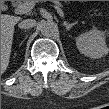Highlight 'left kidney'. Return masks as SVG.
<instances>
[{"label": "left kidney", "instance_id": "5707ae66", "mask_svg": "<svg viewBox=\"0 0 109 109\" xmlns=\"http://www.w3.org/2000/svg\"><path fill=\"white\" fill-rule=\"evenodd\" d=\"M78 50L87 57L98 59L108 53L105 32L96 28L81 34L76 39Z\"/></svg>", "mask_w": 109, "mask_h": 109}]
</instances>
